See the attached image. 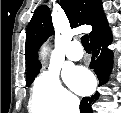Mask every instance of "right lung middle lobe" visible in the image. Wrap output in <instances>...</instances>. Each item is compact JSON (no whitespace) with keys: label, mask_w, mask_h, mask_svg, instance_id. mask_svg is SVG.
<instances>
[{"label":"right lung middle lobe","mask_w":121,"mask_h":113,"mask_svg":"<svg viewBox=\"0 0 121 113\" xmlns=\"http://www.w3.org/2000/svg\"><path fill=\"white\" fill-rule=\"evenodd\" d=\"M39 70H36L35 72H32L30 74L27 75V79H26V86L28 87L34 80V78L39 74Z\"/></svg>","instance_id":"obj_1"}]
</instances>
